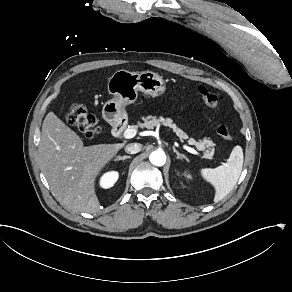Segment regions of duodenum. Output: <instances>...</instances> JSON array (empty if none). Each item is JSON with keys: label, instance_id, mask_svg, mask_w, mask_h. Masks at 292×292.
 <instances>
[{"label": "duodenum", "instance_id": "410a0bca", "mask_svg": "<svg viewBox=\"0 0 292 292\" xmlns=\"http://www.w3.org/2000/svg\"><path fill=\"white\" fill-rule=\"evenodd\" d=\"M125 130V126L123 123H119L115 126H113L112 128V134L116 137V138H120L122 137L123 133Z\"/></svg>", "mask_w": 292, "mask_h": 292}]
</instances>
